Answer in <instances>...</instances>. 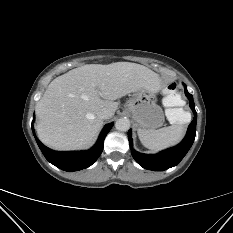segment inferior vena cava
Listing matches in <instances>:
<instances>
[{"mask_svg": "<svg viewBox=\"0 0 233 233\" xmlns=\"http://www.w3.org/2000/svg\"><path fill=\"white\" fill-rule=\"evenodd\" d=\"M98 116L101 119L106 120V119H110L113 116V113L108 109H102L98 112Z\"/></svg>", "mask_w": 233, "mask_h": 233, "instance_id": "1", "label": "inferior vena cava"}]
</instances>
